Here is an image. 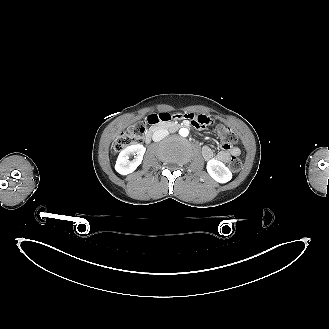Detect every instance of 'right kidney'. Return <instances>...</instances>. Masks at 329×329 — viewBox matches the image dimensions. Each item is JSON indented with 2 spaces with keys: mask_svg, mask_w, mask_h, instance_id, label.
I'll return each instance as SVG.
<instances>
[{
  "mask_svg": "<svg viewBox=\"0 0 329 329\" xmlns=\"http://www.w3.org/2000/svg\"><path fill=\"white\" fill-rule=\"evenodd\" d=\"M145 151L146 148L141 144L126 147L119 153L115 170L122 175L132 173L141 164ZM131 154L135 155L133 160H129Z\"/></svg>",
  "mask_w": 329,
  "mask_h": 329,
  "instance_id": "ca27d5eb",
  "label": "right kidney"
}]
</instances>
